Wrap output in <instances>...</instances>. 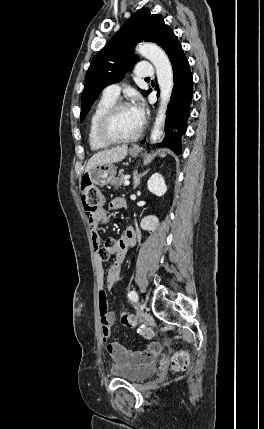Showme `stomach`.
<instances>
[{
	"label": "stomach",
	"mask_w": 264,
	"mask_h": 429,
	"mask_svg": "<svg viewBox=\"0 0 264 429\" xmlns=\"http://www.w3.org/2000/svg\"><path fill=\"white\" fill-rule=\"evenodd\" d=\"M129 153L132 157H137L140 151L130 149ZM116 173L117 167L114 164L110 163L95 166L89 172H86L83 177L88 179L92 184L104 186L107 185L115 177Z\"/></svg>",
	"instance_id": "1"
}]
</instances>
